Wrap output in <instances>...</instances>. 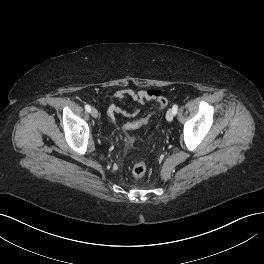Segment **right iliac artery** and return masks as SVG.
<instances>
[{"instance_id": "82829eb1", "label": "right iliac artery", "mask_w": 264, "mask_h": 264, "mask_svg": "<svg viewBox=\"0 0 264 264\" xmlns=\"http://www.w3.org/2000/svg\"><path fill=\"white\" fill-rule=\"evenodd\" d=\"M85 110H86L87 112H90V111H91V107H90V105L86 104V105H85Z\"/></svg>"}]
</instances>
